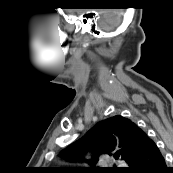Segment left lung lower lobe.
Returning a JSON list of instances; mask_svg holds the SVG:
<instances>
[{"mask_svg": "<svg viewBox=\"0 0 173 173\" xmlns=\"http://www.w3.org/2000/svg\"><path fill=\"white\" fill-rule=\"evenodd\" d=\"M144 144L134 155L125 173H168L165 159L158 146L144 132Z\"/></svg>", "mask_w": 173, "mask_h": 173, "instance_id": "1", "label": "left lung lower lobe"}]
</instances>
